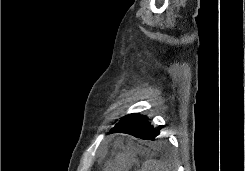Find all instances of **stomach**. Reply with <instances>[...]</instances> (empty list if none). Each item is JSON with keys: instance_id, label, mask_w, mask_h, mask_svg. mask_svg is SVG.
Here are the masks:
<instances>
[{"instance_id": "1", "label": "stomach", "mask_w": 245, "mask_h": 171, "mask_svg": "<svg viewBox=\"0 0 245 171\" xmlns=\"http://www.w3.org/2000/svg\"><path fill=\"white\" fill-rule=\"evenodd\" d=\"M115 145L120 147V151L106 160L103 171H128L137 165V147L131 140L124 145L123 139H117Z\"/></svg>"}]
</instances>
